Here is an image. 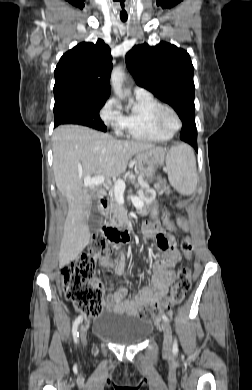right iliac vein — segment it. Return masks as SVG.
I'll list each match as a JSON object with an SVG mask.
<instances>
[{"instance_id":"right-iliac-vein-1","label":"right iliac vein","mask_w":252,"mask_h":390,"mask_svg":"<svg viewBox=\"0 0 252 390\" xmlns=\"http://www.w3.org/2000/svg\"><path fill=\"white\" fill-rule=\"evenodd\" d=\"M86 335H87V328L85 326H81L80 328V338L82 342L86 343Z\"/></svg>"}]
</instances>
